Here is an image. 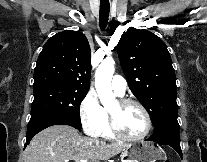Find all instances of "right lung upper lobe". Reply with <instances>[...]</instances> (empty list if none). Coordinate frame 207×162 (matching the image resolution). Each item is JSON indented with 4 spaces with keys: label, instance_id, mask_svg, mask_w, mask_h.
<instances>
[{
    "label": "right lung upper lobe",
    "instance_id": "right-lung-upper-lobe-1",
    "mask_svg": "<svg viewBox=\"0 0 207 162\" xmlns=\"http://www.w3.org/2000/svg\"><path fill=\"white\" fill-rule=\"evenodd\" d=\"M90 55L83 33L72 30L57 33L45 43L38 57L33 88L56 85L88 91Z\"/></svg>",
    "mask_w": 207,
    "mask_h": 162
}]
</instances>
